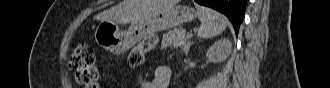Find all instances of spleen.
<instances>
[{
	"instance_id": "spleen-1",
	"label": "spleen",
	"mask_w": 330,
	"mask_h": 88,
	"mask_svg": "<svg viewBox=\"0 0 330 88\" xmlns=\"http://www.w3.org/2000/svg\"><path fill=\"white\" fill-rule=\"evenodd\" d=\"M198 18L201 21V26L198 30V36L201 38H211L226 29L227 19L221 13L199 6L197 8Z\"/></svg>"
}]
</instances>
